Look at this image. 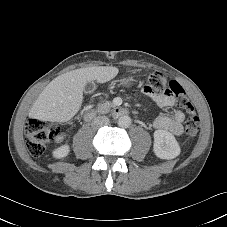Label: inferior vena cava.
<instances>
[{"instance_id":"602c4592","label":"inferior vena cava","mask_w":227,"mask_h":227,"mask_svg":"<svg viewBox=\"0 0 227 227\" xmlns=\"http://www.w3.org/2000/svg\"><path fill=\"white\" fill-rule=\"evenodd\" d=\"M109 124V118L106 116H98L92 121V128L98 129Z\"/></svg>"}]
</instances>
